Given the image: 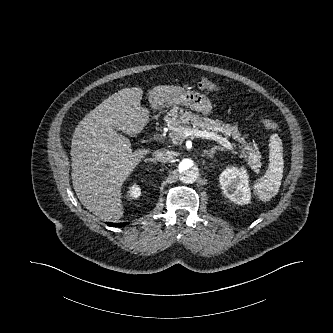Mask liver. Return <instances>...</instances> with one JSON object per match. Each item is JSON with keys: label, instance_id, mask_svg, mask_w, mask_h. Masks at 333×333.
Returning <instances> with one entry per match:
<instances>
[{"label": "liver", "instance_id": "6515ba94", "mask_svg": "<svg viewBox=\"0 0 333 333\" xmlns=\"http://www.w3.org/2000/svg\"><path fill=\"white\" fill-rule=\"evenodd\" d=\"M180 86L159 85L149 92L153 110L182 93ZM141 88H124L90 111L75 128L71 144L72 183L80 202L104 220L124 214L121 188L148 149L132 152L126 134H138L149 120L140 105Z\"/></svg>", "mask_w": 333, "mask_h": 333}]
</instances>
